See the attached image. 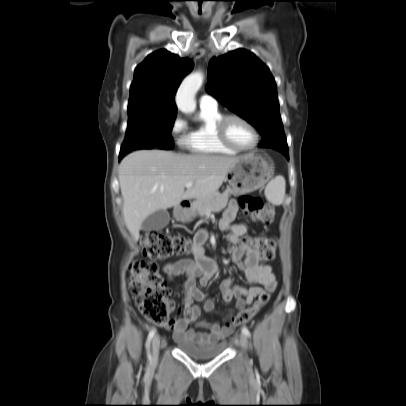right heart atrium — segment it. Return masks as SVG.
I'll return each mask as SVG.
<instances>
[{"mask_svg": "<svg viewBox=\"0 0 406 406\" xmlns=\"http://www.w3.org/2000/svg\"><path fill=\"white\" fill-rule=\"evenodd\" d=\"M187 122L181 115H176L171 124V133L179 145H185L188 137Z\"/></svg>", "mask_w": 406, "mask_h": 406, "instance_id": "obj_1", "label": "right heart atrium"}]
</instances>
